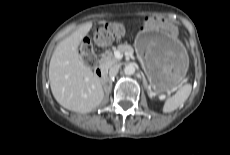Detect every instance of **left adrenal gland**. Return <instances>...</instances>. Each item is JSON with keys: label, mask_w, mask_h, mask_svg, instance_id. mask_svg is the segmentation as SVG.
Masks as SVG:
<instances>
[{"label": "left adrenal gland", "mask_w": 230, "mask_h": 155, "mask_svg": "<svg viewBox=\"0 0 230 155\" xmlns=\"http://www.w3.org/2000/svg\"><path fill=\"white\" fill-rule=\"evenodd\" d=\"M143 82H144L145 87L147 88V82H146V79H145V78H143ZM148 95L151 97L149 91H148Z\"/></svg>", "instance_id": "left-adrenal-gland-1"}]
</instances>
